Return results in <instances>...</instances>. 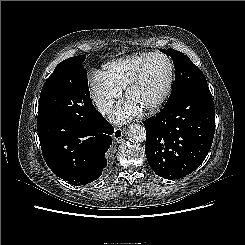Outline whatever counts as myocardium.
<instances>
[{
  "label": "myocardium",
  "instance_id": "1",
  "mask_svg": "<svg viewBox=\"0 0 245 245\" xmlns=\"http://www.w3.org/2000/svg\"><path fill=\"white\" fill-rule=\"evenodd\" d=\"M154 57L164 58L168 63L169 72H168V78L166 81V85H165V88L162 94L159 96V98L155 102L143 108L144 111L149 112V113L158 111L165 104V102L167 101L172 91L173 82H174V65L170 57L161 52L150 53L148 57L139 66L138 70L136 71V73L134 74V76L132 77V79L129 81L128 85L125 88L126 98L129 99L131 92L140 83L148 62L150 61L151 58H154Z\"/></svg>",
  "mask_w": 245,
  "mask_h": 245
}]
</instances>
